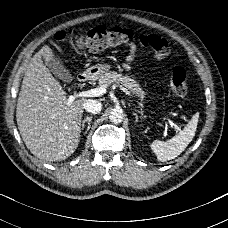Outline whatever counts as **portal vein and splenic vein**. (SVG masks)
<instances>
[{"label": "portal vein and splenic vein", "mask_w": 228, "mask_h": 228, "mask_svg": "<svg viewBox=\"0 0 228 228\" xmlns=\"http://www.w3.org/2000/svg\"><path fill=\"white\" fill-rule=\"evenodd\" d=\"M113 88L115 89V86H113ZM106 86L105 85H101L98 88H94L88 91H82L76 95H71L69 96V99L74 101L77 97H99L102 96L106 93ZM127 92V91H126ZM166 117H173L176 120L182 121L183 117L180 115V111H172V112H166ZM175 130V132H180V126H178L177 124H175L174 122H172L171 119H166V125H164L163 129H162V134L161 137L162 139H167L168 137V132Z\"/></svg>", "instance_id": "obj_1"}]
</instances>
